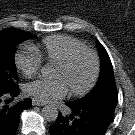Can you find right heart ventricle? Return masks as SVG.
I'll use <instances>...</instances> for the list:
<instances>
[{
    "label": "right heart ventricle",
    "instance_id": "obj_1",
    "mask_svg": "<svg viewBox=\"0 0 135 135\" xmlns=\"http://www.w3.org/2000/svg\"><path fill=\"white\" fill-rule=\"evenodd\" d=\"M86 48V44L81 40L72 36L58 34L45 37L41 45L35 47L34 50L47 63L57 64L73 51Z\"/></svg>",
    "mask_w": 135,
    "mask_h": 135
}]
</instances>
